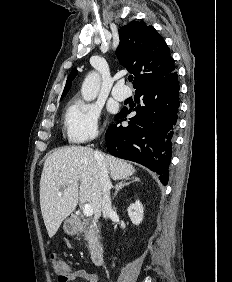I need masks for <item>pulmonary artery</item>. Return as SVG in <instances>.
<instances>
[{"instance_id": "1", "label": "pulmonary artery", "mask_w": 232, "mask_h": 282, "mask_svg": "<svg viewBox=\"0 0 232 282\" xmlns=\"http://www.w3.org/2000/svg\"><path fill=\"white\" fill-rule=\"evenodd\" d=\"M129 95L130 90L123 82H118L112 90V96L118 101L125 100Z\"/></svg>"}]
</instances>
